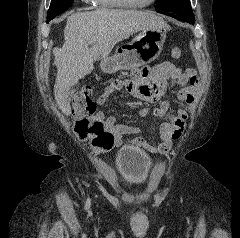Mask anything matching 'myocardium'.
I'll use <instances>...</instances> for the list:
<instances>
[{
  "label": "myocardium",
  "mask_w": 240,
  "mask_h": 238,
  "mask_svg": "<svg viewBox=\"0 0 240 238\" xmlns=\"http://www.w3.org/2000/svg\"><path fill=\"white\" fill-rule=\"evenodd\" d=\"M155 0H149L147 2L141 3V2H134L129 0H118V2L123 6L127 8H136V7H146L154 3Z\"/></svg>",
  "instance_id": "myocardium-1"
}]
</instances>
